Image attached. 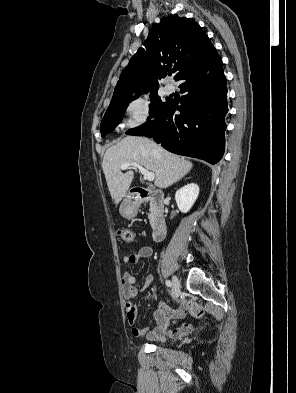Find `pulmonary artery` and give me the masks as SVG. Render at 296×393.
I'll return each instance as SVG.
<instances>
[{"label": "pulmonary artery", "instance_id": "obj_1", "mask_svg": "<svg viewBox=\"0 0 296 393\" xmlns=\"http://www.w3.org/2000/svg\"><path fill=\"white\" fill-rule=\"evenodd\" d=\"M164 91H165L166 94H171L174 91V86L172 84H170V83H167L165 85Z\"/></svg>", "mask_w": 296, "mask_h": 393}]
</instances>
